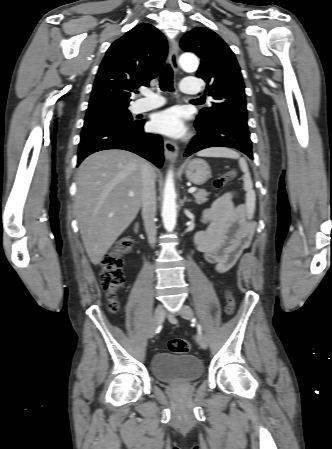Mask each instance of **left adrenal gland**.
<instances>
[{"label": "left adrenal gland", "mask_w": 332, "mask_h": 449, "mask_svg": "<svg viewBox=\"0 0 332 449\" xmlns=\"http://www.w3.org/2000/svg\"><path fill=\"white\" fill-rule=\"evenodd\" d=\"M184 201H188V202H190L191 200L189 199V200H187V198L186 197H184Z\"/></svg>", "instance_id": "obj_1"}]
</instances>
